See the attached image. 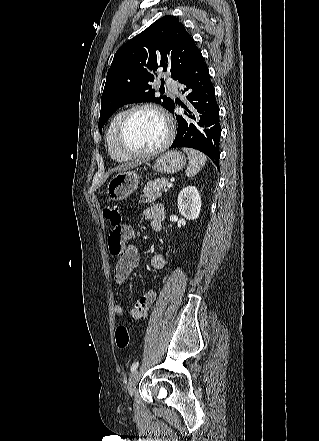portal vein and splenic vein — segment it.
Returning a JSON list of instances; mask_svg holds the SVG:
<instances>
[{
  "label": "portal vein and splenic vein",
  "mask_w": 319,
  "mask_h": 441,
  "mask_svg": "<svg viewBox=\"0 0 319 441\" xmlns=\"http://www.w3.org/2000/svg\"><path fill=\"white\" fill-rule=\"evenodd\" d=\"M172 186H173L172 183H168V184H167V187H168V188H171Z\"/></svg>",
  "instance_id": "portal-vein-and-splenic-vein-1"
}]
</instances>
